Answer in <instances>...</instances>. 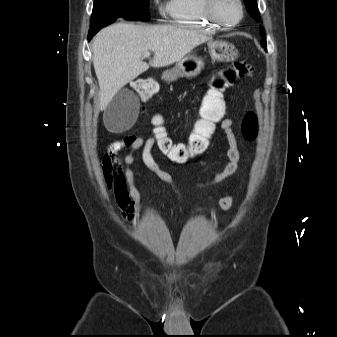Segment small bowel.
Masks as SVG:
<instances>
[{
  "instance_id": "c3829d8e",
  "label": "small bowel",
  "mask_w": 337,
  "mask_h": 337,
  "mask_svg": "<svg viewBox=\"0 0 337 337\" xmlns=\"http://www.w3.org/2000/svg\"><path fill=\"white\" fill-rule=\"evenodd\" d=\"M234 122L226 113V117L221 122V129L225 134L228 149L226 152L228 163L222 171L217 172L208 180L197 182L190 188L191 193L195 195L196 191L203 190L233 175L239 166L241 152L238 148L236 136L233 133ZM158 143L155 136L143 139L138 136L130 135L124 138L121 143L112 144L101 159V171L108 191L112 192L113 198L122 217L127 221H133L141 203V194L135 185L134 172L132 165L135 163V154L141 152V161L151 172H153L160 180L170 186L173 192L182 201V193L178 185L175 183L172 175L162 169L156 161L153 149ZM125 146L128 152L121 156L120 149ZM204 201H212L213 198L205 196ZM235 197L232 195L223 196L218 200L221 209L228 210L233 207Z\"/></svg>"
}]
</instances>
